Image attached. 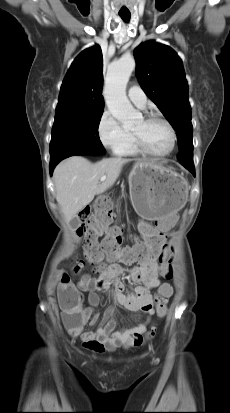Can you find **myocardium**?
I'll return each instance as SVG.
<instances>
[{"instance_id":"f54148a6","label":"myocardium","mask_w":230,"mask_h":413,"mask_svg":"<svg viewBox=\"0 0 230 413\" xmlns=\"http://www.w3.org/2000/svg\"><path fill=\"white\" fill-rule=\"evenodd\" d=\"M153 120H158V121L163 122L167 126V128L170 132L171 141H170V146L167 150L162 151V152H158V151H155V150L151 149L143 141V139L135 132H133L134 138L136 140V143H137L138 147L144 153L155 156V157H166L174 151L175 146H176L177 134H176L175 128L168 119H166L165 117H163V116H161L157 113H152V114L145 117V121H153Z\"/></svg>"}]
</instances>
